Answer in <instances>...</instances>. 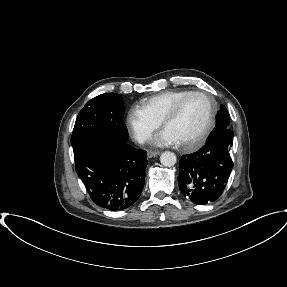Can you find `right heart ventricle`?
I'll list each match as a JSON object with an SVG mask.
<instances>
[{"mask_svg": "<svg viewBox=\"0 0 287 287\" xmlns=\"http://www.w3.org/2000/svg\"><path fill=\"white\" fill-rule=\"evenodd\" d=\"M190 92V90H167L141 101L139 109L156 122L161 123L164 115L171 107Z\"/></svg>", "mask_w": 287, "mask_h": 287, "instance_id": "right-heart-ventricle-1", "label": "right heart ventricle"}]
</instances>
